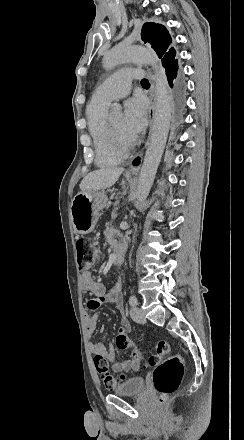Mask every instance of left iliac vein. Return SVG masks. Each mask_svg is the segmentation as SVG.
I'll list each match as a JSON object with an SVG mask.
<instances>
[{"label":"left iliac vein","mask_w":244,"mask_h":440,"mask_svg":"<svg viewBox=\"0 0 244 440\" xmlns=\"http://www.w3.org/2000/svg\"><path fill=\"white\" fill-rule=\"evenodd\" d=\"M130 316L136 323L142 324L145 322V317L140 307L133 306L130 310Z\"/></svg>","instance_id":"obj_1"}]
</instances>
